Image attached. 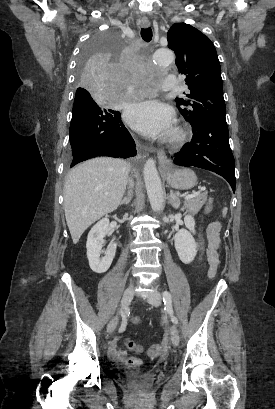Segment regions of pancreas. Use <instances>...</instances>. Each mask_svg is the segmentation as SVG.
<instances>
[{"label":"pancreas","mask_w":275,"mask_h":409,"mask_svg":"<svg viewBox=\"0 0 275 409\" xmlns=\"http://www.w3.org/2000/svg\"><path fill=\"white\" fill-rule=\"evenodd\" d=\"M206 200L207 192H201V194H197V196H193V198H188V200H185V207H187L188 213H190V215H196V213L200 211L201 207H203Z\"/></svg>","instance_id":"cf45deb5"}]
</instances>
